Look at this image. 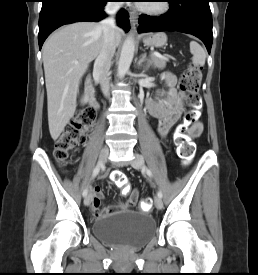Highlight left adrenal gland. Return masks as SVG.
Wrapping results in <instances>:
<instances>
[{"label": "left adrenal gland", "mask_w": 258, "mask_h": 275, "mask_svg": "<svg viewBox=\"0 0 258 275\" xmlns=\"http://www.w3.org/2000/svg\"><path fill=\"white\" fill-rule=\"evenodd\" d=\"M146 60H147V59H146V53H144V54H142V55L140 56V58H139V60H138V63H137L138 67H142L143 63H144ZM148 67H149V64L143 69L142 72H145L146 69H147Z\"/></svg>", "instance_id": "a2214340"}]
</instances>
